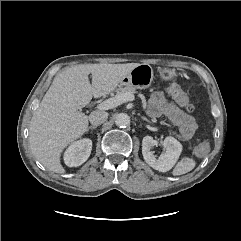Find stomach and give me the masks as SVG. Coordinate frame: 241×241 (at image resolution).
Wrapping results in <instances>:
<instances>
[{"instance_id": "stomach-1", "label": "stomach", "mask_w": 241, "mask_h": 241, "mask_svg": "<svg viewBox=\"0 0 241 241\" xmlns=\"http://www.w3.org/2000/svg\"><path fill=\"white\" fill-rule=\"evenodd\" d=\"M178 75L176 69L164 68L160 70V78L164 81L173 80ZM154 79V72L149 64H139L133 68L120 82V86L132 85L138 89L148 88Z\"/></svg>"}]
</instances>
